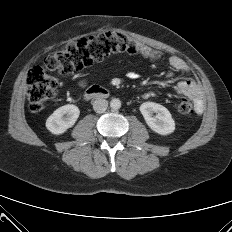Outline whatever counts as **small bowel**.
<instances>
[{"instance_id":"1","label":"small bowel","mask_w":232,"mask_h":232,"mask_svg":"<svg viewBox=\"0 0 232 232\" xmlns=\"http://www.w3.org/2000/svg\"><path fill=\"white\" fill-rule=\"evenodd\" d=\"M169 65L171 70L168 72L167 77L172 78L175 72L183 73L185 75H189L190 68L186 61L178 56H171L169 58ZM127 76L131 79L138 78V73L136 71H129ZM87 84L85 79H80L77 82L79 87H85ZM176 91L183 96L190 98L198 112H201L203 109V93L198 85V83L191 77L187 76L186 78L182 79L176 87ZM152 95V94H150Z\"/></svg>"}]
</instances>
